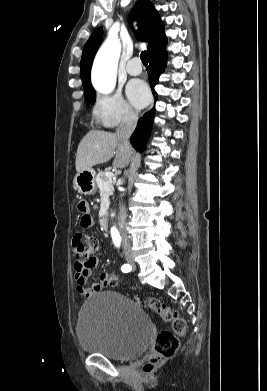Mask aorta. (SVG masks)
Listing matches in <instances>:
<instances>
[{
    "instance_id": "aorta-1",
    "label": "aorta",
    "mask_w": 267,
    "mask_h": 391,
    "mask_svg": "<svg viewBox=\"0 0 267 391\" xmlns=\"http://www.w3.org/2000/svg\"><path fill=\"white\" fill-rule=\"evenodd\" d=\"M120 53V40L115 35H109L98 50L92 67V83L97 92L107 95L115 89ZM111 234L117 243L116 227L111 228Z\"/></svg>"
}]
</instances>
